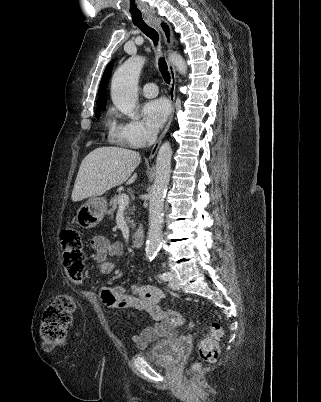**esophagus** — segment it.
I'll return each mask as SVG.
<instances>
[{
    "mask_svg": "<svg viewBox=\"0 0 321 402\" xmlns=\"http://www.w3.org/2000/svg\"><path fill=\"white\" fill-rule=\"evenodd\" d=\"M151 24L155 25L159 29V31L162 33L164 43H165L166 47L168 48V50H172L175 47V37H174L170 24L161 17L155 18L153 21H151ZM167 64H168V69H169V73H170V77H171V83H170V88H169V100L171 103V112H170L169 120H168L164 130L162 131L158 140L155 142V144L153 145V147L151 149V152L149 155L150 159H152L156 155L158 148L171 125V122H172L173 116H174V112H175L176 70H175L174 64L169 59L167 61Z\"/></svg>",
    "mask_w": 321,
    "mask_h": 402,
    "instance_id": "1",
    "label": "esophagus"
}]
</instances>
